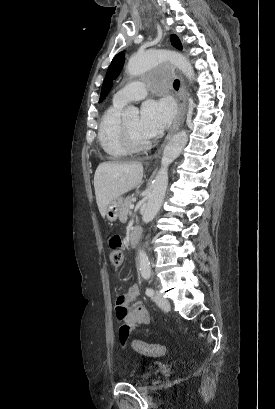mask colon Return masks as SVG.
Here are the masks:
<instances>
[{
	"instance_id": "obj_1",
	"label": "colon",
	"mask_w": 275,
	"mask_h": 409,
	"mask_svg": "<svg viewBox=\"0 0 275 409\" xmlns=\"http://www.w3.org/2000/svg\"><path fill=\"white\" fill-rule=\"evenodd\" d=\"M121 245L122 240L119 233L109 236L108 247L111 249V263L117 268L123 263L124 259V253L120 249ZM131 347L133 350L140 352L142 358H160L163 356V350L166 346L163 342L132 341Z\"/></svg>"
}]
</instances>
